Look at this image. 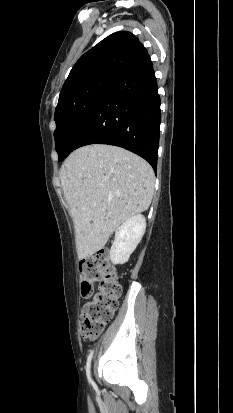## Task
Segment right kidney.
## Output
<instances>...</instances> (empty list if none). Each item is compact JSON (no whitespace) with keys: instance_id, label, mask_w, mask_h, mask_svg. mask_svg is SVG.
<instances>
[{"instance_id":"obj_1","label":"right kidney","mask_w":233,"mask_h":413,"mask_svg":"<svg viewBox=\"0 0 233 413\" xmlns=\"http://www.w3.org/2000/svg\"><path fill=\"white\" fill-rule=\"evenodd\" d=\"M146 229L145 217L137 214L127 219L115 231V239L110 250L113 264H124L141 241Z\"/></svg>"}]
</instances>
